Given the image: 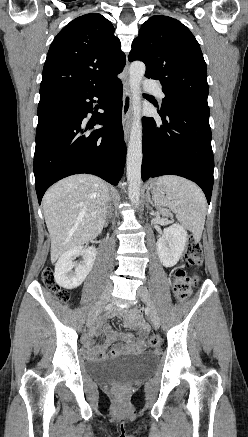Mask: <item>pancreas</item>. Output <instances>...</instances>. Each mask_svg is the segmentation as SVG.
Returning <instances> with one entry per match:
<instances>
[{"mask_svg":"<svg viewBox=\"0 0 248 437\" xmlns=\"http://www.w3.org/2000/svg\"><path fill=\"white\" fill-rule=\"evenodd\" d=\"M161 213H162L163 215H165V216L170 215V213H169L167 210H165V209L161 210Z\"/></svg>","mask_w":248,"mask_h":437,"instance_id":"1","label":"pancreas"}]
</instances>
